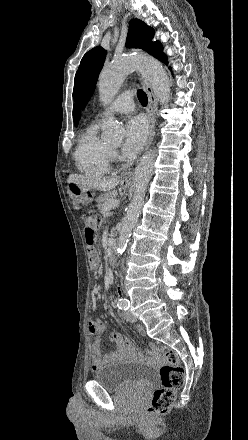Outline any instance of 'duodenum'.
I'll use <instances>...</instances> for the list:
<instances>
[{
    "mask_svg": "<svg viewBox=\"0 0 248 440\" xmlns=\"http://www.w3.org/2000/svg\"><path fill=\"white\" fill-rule=\"evenodd\" d=\"M116 253V242L114 240L111 241L110 249L108 253L109 262H112Z\"/></svg>",
    "mask_w": 248,
    "mask_h": 440,
    "instance_id": "1",
    "label": "duodenum"
}]
</instances>
